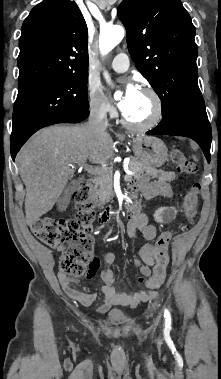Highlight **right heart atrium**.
I'll use <instances>...</instances> for the list:
<instances>
[{
	"label": "right heart atrium",
	"instance_id": "1",
	"mask_svg": "<svg viewBox=\"0 0 221 379\" xmlns=\"http://www.w3.org/2000/svg\"><path fill=\"white\" fill-rule=\"evenodd\" d=\"M88 106L92 114L108 118L113 116L115 110L109 103L102 90L94 84H89L87 88Z\"/></svg>",
	"mask_w": 221,
	"mask_h": 379
}]
</instances>
